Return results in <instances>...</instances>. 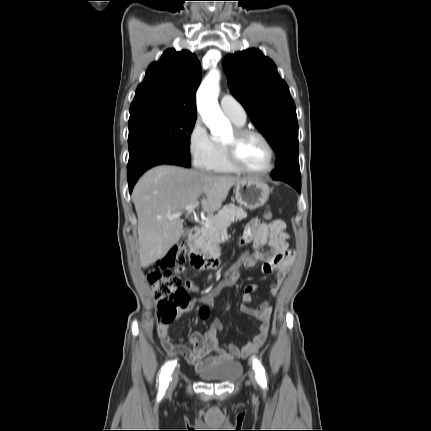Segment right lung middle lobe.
Masks as SVG:
<instances>
[{"mask_svg":"<svg viewBox=\"0 0 431 431\" xmlns=\"http://www.w3.org/2000/svg\"><path fill=\"white\" fill-rule=\"evenodd\" d=\"M195 121L196 117L156 113L129 118V154L158 144L190 160V135Z\"/></svg>","mask_w":431,"mask_h":431,"instance_id":"dd1d6c3e","label":"right lung middle lobe"}]
</instances>
